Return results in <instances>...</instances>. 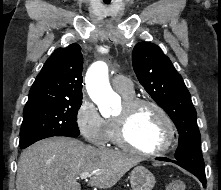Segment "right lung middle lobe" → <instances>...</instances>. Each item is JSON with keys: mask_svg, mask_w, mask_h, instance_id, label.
<instances>
[{"mask_svg": "<svg viewBox=\"0 0 221 190\" xmlns=\"http://www.w3.org/2000/svg\"><path fill=\"white\" fill-rule=\"evenodd\" d=\"M82 101L42 102L26 105L20 130V148L52 136L77 137V113Z\"/></svg>", "mask_w": 221, "mask_h": 190, "instance_id": "dd1d6c3e", "label": "right lung middle lobe"}]
</instances>
